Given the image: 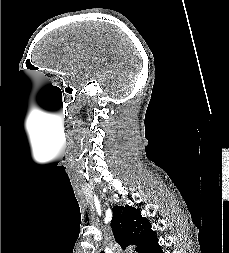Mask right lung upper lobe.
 Returning <instances> with one entry per match:
<instances>
[{
    "label": "right lung upper lobe",
    "instance_id": "right-lung-upper-lobe-1",
    "mask_svg": "<svg viewBox=\"0 0 229 253\" xmlns=\"http://www.w3.org/2000/svg\"><path fill=\"white\" fill-rule=\"evenodd\" d=\"M111 228L122 249L136 245L137 253H145L158 240L148 219L142 217L140 210L132 206L113 207Z\"/></svg>",
    "mask_w": 229,
    "mask_h": 253
}]
</instances>
